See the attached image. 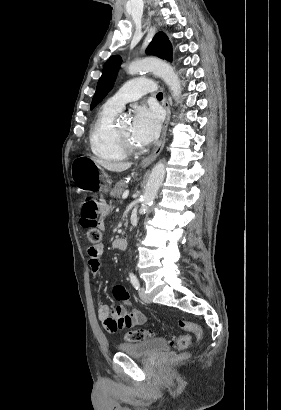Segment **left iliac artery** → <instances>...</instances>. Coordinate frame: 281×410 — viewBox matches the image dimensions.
Here are the masks:
<instances>
[{
  "mask_svg": "<svg viewBox=\"0 0 281 410\" xmlns=\"http://www.w3.org/2000/svg\"><path fill=\"white\" fill-rule=\"evenodd\" d=\"M130 280H131V283H132L133 287H134L136 290H139V289H140V283H139V281H138L136 275H134L133 273H131V274H130Z\"/></svg>",
  "mask_w": 281,
  "mask_h": 410,
  "instance_id": "1",
  "label": "left iliac artery"
}]
</instances>
